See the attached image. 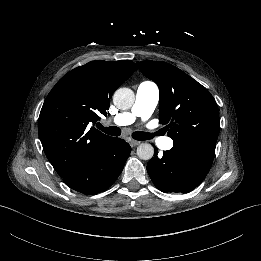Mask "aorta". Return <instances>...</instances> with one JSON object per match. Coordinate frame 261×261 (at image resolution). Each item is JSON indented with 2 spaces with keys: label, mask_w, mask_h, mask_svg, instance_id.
<instances>
[{
  "label": "aorta",
  "mask_w": 261,
  "mask_h": 261,
  "mask_svg": "<svg viewBox=\"0 0 261 261\" xmlns=\"http://www.w3.org/2000/svg\"><path fill=\"white\" fill-rule=\"evenodd\" d=\"M134 101V92L129 88H119L113 95L114 105L121 110L130 109L134 104ZM137 155L142 160H149L154 155V148L148 143L140 144L137 148Z\"/></svg>",
  "instance_id": "762f6f07"
}]
</instances>
